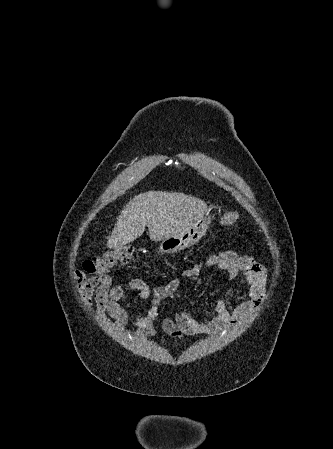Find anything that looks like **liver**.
I'll return each instance as SVG.
<instances>
[{"instance_id": "liver-1", "label": "liver", "mask_w": 333, "mask_h": 449, "mask_svg": "<svg viewBox=\"0 0 333 449\" xmlns=\"http://www.w3.org/2000/svg\"><path fill=\"white\" fill-rule=\"evenodd\" d=\"M204 201L182 193L149 191L130 200L121 211L107 241L110 249H121L141 236L148 227L152 241L173 236L204 216Z\"/></svg>"}]
</instances>
